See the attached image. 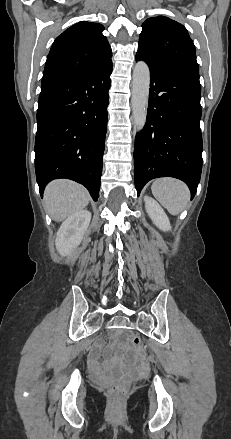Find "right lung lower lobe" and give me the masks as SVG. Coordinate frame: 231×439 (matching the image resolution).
Masks as SVG:
<instances>
[{
  "instance_id": "1",
  "label": "right lung lower lobe",
  "mask_w": 231,
  "mask_h": 439,
  "mask_svg": "<svg viewBox=\"0 0 231 439\" xmlns=\"http://www.w3.org/2000/svg\"><path fill=\"white\" fill-rule=\"evenodd\" d=\"M112 61L85 77L44 85L39 96L35 170L40 194L68 178L99 197Z\"/></svg>"
}]
</instances>
